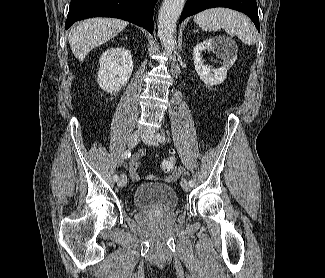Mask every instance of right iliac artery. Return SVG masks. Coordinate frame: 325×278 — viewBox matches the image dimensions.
Wrapping results in <instances>:
<instances>
[{
    "label": "right iliac artery",
    "instance_id": "82829eb1",
    "mask_svg": "<svg viewBox=\"0 0 325 278\" xmlns=\"http://www.w3.org/2000/svg\"><path fill=\"white\" fill-rule=\"evenodd\" d=\"M130 156H131V152L129 150H126L121 154V159H126V158H129ZM113 179H114V181L117 182L119 180L118 175L115 174L113 176Z\"/></svg>",
    "mask_w": 325,
    "mask_h": 278
}]
</instances>
